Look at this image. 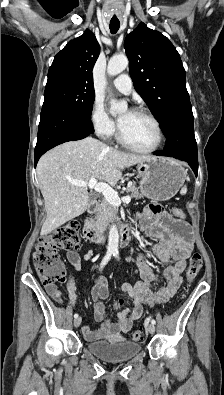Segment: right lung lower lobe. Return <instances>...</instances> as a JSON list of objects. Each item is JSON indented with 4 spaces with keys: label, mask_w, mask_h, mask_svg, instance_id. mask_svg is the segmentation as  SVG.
<instances>
[{
    "label": "right lung lower lobe",
    "mask_w": 224,
    "mask_h": 395,
    "mask_svg": "<svg viewBox=\"0 0 224 395\" xmlns=\"http://www.w3.org/2000/svg\"><path fill=\"white\" fill-rule=\"evenodd\" d=\"M93 132L91 118L44 103L35 147V166L47 150L67 141L83 139Z\"/></svg>",
    "instance_id": "1"
}]
</instances>
